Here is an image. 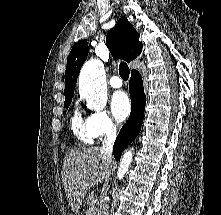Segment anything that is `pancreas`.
I'll return each instance as SVG.
<instances>
[{
    "mask_svg": "<svg viewBox=\"0 0 221 215\" xmlns=\"http://www.w3.org/2000/svg\"><path fill=\"white\" fill-rule=\"evenodd\" d=\"M94 197L93 195L89 194V196L86 198L85 206L87 209H89L91 206H93ZM88 211V210H87ZM87 215V213H86ZM93 215H99L98 211L96 210Z\"/></svg>",
    "mask_w": 221,
    "mask_h": 215,
    "instance_id": "1",
    "label": "pancreas"
}]
</instances>
